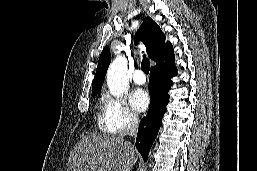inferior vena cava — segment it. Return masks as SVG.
I'll list each match as a JSON object with an SVG mask.
<instances>
[{
    "label": "inferior vena cava",
    "instance_id": "obj_1",
    "mask_svg": "<svg viewBox=\"0 0 257 171\" xmlns=\"http://www.w3.org/2000/svg\"><path fill=\"white\" fill-rule=\"evenodd\" d=\"M139 118L137 115L132 114L129 117L128 126L123 135L136 136L138 131Z\"/></svg>",
    "mask_w": 257,
    "mask_h": 171
}]
</instances>
